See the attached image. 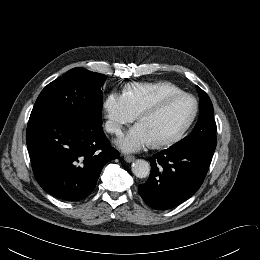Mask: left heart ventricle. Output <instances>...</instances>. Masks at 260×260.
I'll return each mask as SVG.
<instances>
[{"label":"left heart ventricle","instance_id":"obj_1","mask_svg":"<svg viewBox=\"0 0 260 260\" xmlns=\"http://www.w3.org/2000/svg\"><path fill=\"white\" fill-rule=\"evenodd\" d=\"M193 102L187 97L170 99L158 112L144 117L140 123L154 141L166 138L178 131L188 119Z\"/></svg>","mask_w":260,"mask_h":260}]
</instances>
